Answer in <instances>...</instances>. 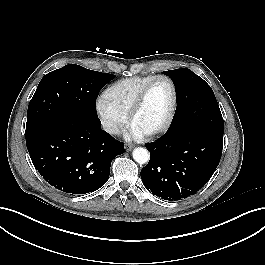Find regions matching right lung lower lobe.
<instances>
[{"mask_svg": "<svg viewBox=\"0 0 265 265\" xmlns=\"http://www.w3.org/2000/svg\"><path fill=\"white\" fill-rule=\"evenodd\" d=\"M26 145L40 175L55 188L84 194L102 187L124 143L101 129L99 118L64 115L26 133Z\"/></svg>", "mask_w": 265, "mask_h": 265, "instance_id": "obj_1", "label": "right lung lower lobe"}]
</instances>
